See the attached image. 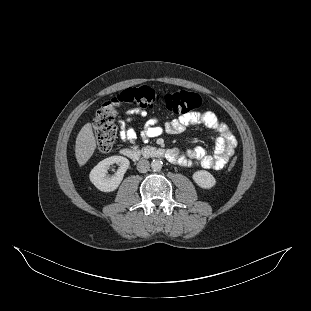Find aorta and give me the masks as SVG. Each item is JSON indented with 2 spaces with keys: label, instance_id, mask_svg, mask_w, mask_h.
Segmentation results:
<instances>
[{
  "label": "aorta",
  "instance_id": "762f6f07",
  "mask_svg": "<svg viewBox=\"0 0 311 311\" xmlns=\"http://www.w3.org/2000/svg\"><path fill=\"white\" fill-rule=\"evenodd\" d=\"M163 162L160 159H153L151 162V168L154 171H160L162 169Z\"/></svg>",
  "mask_w": 311,
  "mask_h": 311
}]
</instances>
